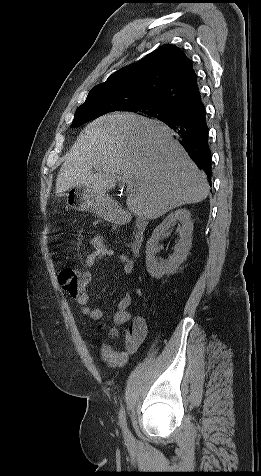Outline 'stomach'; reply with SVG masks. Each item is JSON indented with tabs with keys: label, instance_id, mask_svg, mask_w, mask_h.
<instances>
[{
	"label": "stomach",
	"instance_id": "0dacf381",
	"mask_svg": "<svg viewBox=\"0 0 261 476\" xmlns=\"http://www.w3.org/2000/svg\"><path fill=\"white\" fill-rule=\"evenodd\" d=\"M67 204L78 211H91L100 217L114 220L113 201L86 185L70 188L66 193Z\"/></svg>",
	"mask_w": 261,
	"mask_h": 476
}]
</instances>
